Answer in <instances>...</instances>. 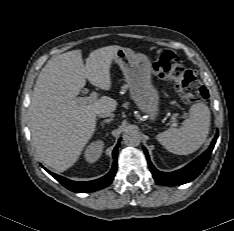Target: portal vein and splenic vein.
Masks as SVG:
<instances>
[{
	"instance_id": "portal-vein-and-splenic-vein-1",
	"label": "portal vein and splenic vein",
	"mask_w": 234,
	"mask_h": 231,
	"mask_svg": "<svg viewBox=\"0 0 234 231\" xmlns=\"http://www.w3.org/2000/svg\"><path fill=\"white\" fill-rule=\"evenodd\" d=\"M96 99H97V93L96 92H92L90 94V96H88V97L76 98V102L83 103V104H88V103H92V102L96 101ZM171 120L173 122L172 126L177 127L176 115H173L171 117Z\"/></svg>"
}]
</instances>
